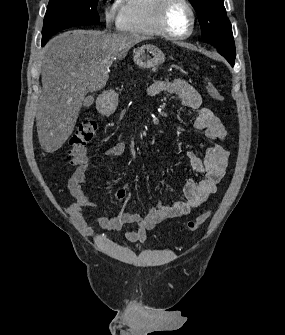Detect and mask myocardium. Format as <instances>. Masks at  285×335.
<instances>
[{"label":"myocardium","instance_id":"1","mask_svg":"<svg viewBox=\"0 0 285 335\" xmlns=\"http://www.w3.org/2000/svg\"><path fill=\"white\" fill-rule=\"evenodd\" d=\"M176 3L183 5L191 17V22L186 32L177 31L176 29H173L169 23L170 10L172 6ZM158 21H159L161 30L166 36L170 38H174V39H180V38L187 37L192 32L194 24H195V16H194L192 7L188 1H161V5L159 8Z\"/></svg>","mask_w":285,"mask_h":335}]
</instances>
